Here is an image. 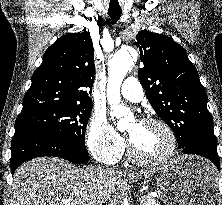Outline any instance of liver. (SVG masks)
Listing matches in <instances>:
<instances>
[{
    "label": "liver",
    "mask_w": 222,
    "mask_h": 205,
    "mask_svg": "<svg viewBox=\"0 0 222 205\" xmlns=\"http://www.w3.org/2000/svg\"><path fill=\"white\" fill-rule=\"evenodd\" d=\"M150 176L152 173L144 175L145 179ZM125 185V174L113 169L78 168L61 158L39 157L14 173L11 205L68 204L63 201L70 205H103Z\"/></svg>",
    "instance_id": "1"
}]
</instances>
